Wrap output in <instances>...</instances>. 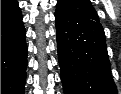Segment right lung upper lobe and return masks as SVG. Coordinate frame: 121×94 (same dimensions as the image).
I'll return each instance as SVG.
<instances>
[{
  "mask_svg": "<svg viewBox=\"0 0 121 94\" xmlns=\"http://www.w3.org/2000/svg\"><path fill=\"white\" fill-rule=\"evenodd\" d=\"M11 2H13V0H2L1 1V7L7 5V4L11 3Z\"/></svg>",
  "mask_w": 121,
  "mask_h": 94,
  "instance_id": "right-lung-upper-lobe-1",
  "label": "right lung upper lobe"
}]
</instances>
